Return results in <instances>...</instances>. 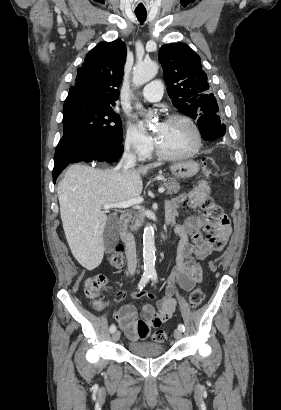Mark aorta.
<instances>
[{
    "label": "aorta",
    "mask_w": 281,
    "mask_h": 410,
    "mask_svg": "<svg viewBox=\"0 0 281 410\" xmlns=\"http://www.w3.org/2000/svg\"><path fill=\"white\" fill-rule=\"evenodd\" d=\"M157 72L158 66L155 62L138 63L133 69V83L141 86L152 80ZM137 107L141 105L137 104ZM155 250L154 229L151 224H147L143 233L144 274L146 275L155 273Z\"/></svg>",
    "instance_id": "762f6f07"
}]
</instances>
